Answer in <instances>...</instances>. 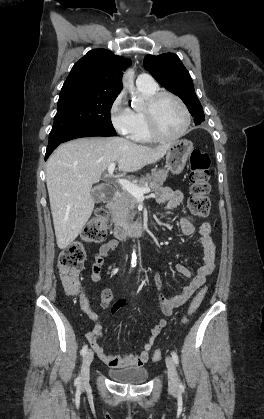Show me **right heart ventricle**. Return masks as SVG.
Masks as SVG:
<instances>
[{
  "mask_svg": "<svg viewBox=\"0 0 264 419\" xmlns=\"http://www.w3.org/2000/svg\"><path fill=\"white\" fill-rule=\"evenodd\" d=\"M138 90L143 98L147 101V99L157 91V86L151 88L138 87ZM131 111L133 115V127L130 133V138L136 142L141 143L152 142L154 139L149 133L145 115V106L134 107Z\"/></svg>",
  "mask_w": 264,
  "mask_h": 419,
  "instance_id": "right-heart-ventricle-1",
  "label": "right heart ventricle"
}]
</instances>
